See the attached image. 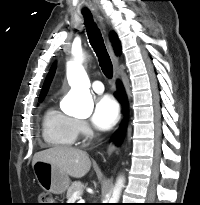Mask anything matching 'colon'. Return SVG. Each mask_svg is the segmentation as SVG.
Instances as JSON below:
<instances>
[{"label":"colon","mask_w":200,"mask_h":205,"mask_svg":"<svg viewBox=\"0 0 200 205\" xmlns=\"http://www.w3.org/2000/svg\"><path fill=\"white\" fill-rule=\"evenodd\" d=\"M39 204L38 205H53V200L51 195L47 194V193H42L39 196Z\"/></svg>","instance_id":"colon-1"}]
</instances>
